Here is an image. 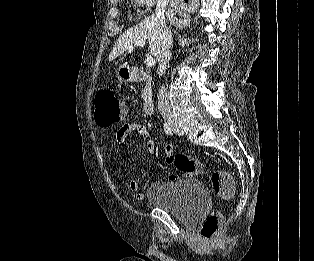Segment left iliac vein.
<instances>
[{
  "label": "left iliac vein",
  "mask_w": 314,
  "mask_h": 261,
  "mask_svg": "<svg viewBox=\"0 0 314 261\" xmlns=\"http://www.w3.org/2000/svg\"><path fill=\"white\" fill-rule=\"evenodd\" d=\"M172 130L177 135H183V129L176 123H172Z\"/></svg>",
  "instance_id": "obj_1"
}]
</instances>
